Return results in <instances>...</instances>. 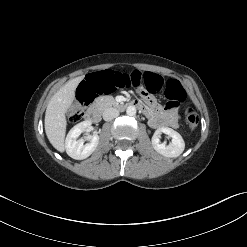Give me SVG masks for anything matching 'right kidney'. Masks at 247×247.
Segmentation results:
<instances>
[{
	"label": "right kidney",
	"instance_id": "ca27d5eb",
	"mask_svg": "<svg viewBox=\"0 0 247 247\" xmlns=\"http://www.w3.org/2000/svg\"><path fill=\"white\" fill-rule=\"evenodd\" d=\"M91 125L90 121H83L75 125L68 133L65 141V148L67 154L75 160H83L89 157L99 143V136L94 134L88 136L89 143L84 145L85 140L80 138L79 135Z\"/></svg>",
	"mask_w": 247,
	"mask_h": 247
}]
</instances>
